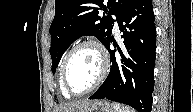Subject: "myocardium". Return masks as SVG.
I'll list each match as a JSON object with an SVG mask.
<instances>
[{"instance_id":"f54148a6","label":"myocardium","mask_w":193,"mask_h":112,"mask_svg":"<svg viewBox=\"0 0 193 112\" xmlns=\"http://www.w3.org/2000/svg\"><path fill=\"white\" fill-rule=\"evenodd\" d=\"M83 47H92L93 49L96 50V52L99 55V59H100V70H99V73H98V76L95 82L88 89L82 92H75L71 89V87L69 86L68 80H67V67H68V64H69V61L72 55L77 50ZM108 71H109V56H108V53L105 47L99 41L94 40V39L83 40L75 44L74 46H72L65 55V58L62 64V68H61V78H62L63 87L65 91L67 92V94L70 96H84L96 90L103 83V81L105 80L108 74Z\"/></svg>"}]
</instances>
